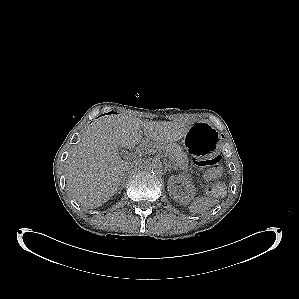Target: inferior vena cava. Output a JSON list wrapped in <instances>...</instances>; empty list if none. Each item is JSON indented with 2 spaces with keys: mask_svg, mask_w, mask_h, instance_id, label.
Returning a JSON list of instances; mask_svg holds the SVG:
<instances>
[{
  "mask_svg": "<svg viewBox=\"0 0 299 299\" xmlns=\"http://www.w3.org/2000/svg\"><path fill=\"white\" fill-rule=\"evenodd\" d=\"M138 163H139V161H138L137 159H136V160H133L132 162H130L129 167H130V168H133V167L137 166Z\"/></svg>",
  "mask_w": 299,
  "mask_h": 299,
  "instance_id": "inferior-vena-cava-1",
  "label": "inferior vena cava"
}]
</instances>
